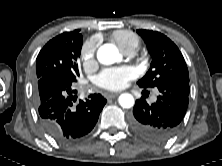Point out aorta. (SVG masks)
Instances as JSON below:
<instances>
[{
	"instance_id": "762f6f07",
	"label": "aorta",
	"mask_w": 222,
	"mask_h": 166,
	"mask_svg": "<svg viewBox=\"0 0 222 166\" xmlns=\"http://www.w3.org/2000/svg\"><path fill=\"white\" fill-rule=\"evenodd\" d=\"M97 59L101 64L111 65L120 60V54L113 44H104L97 51ZM118 101L123 108H131L134 105V98L129 93L121 94Z\"/></svg>"
}]
</instances>
